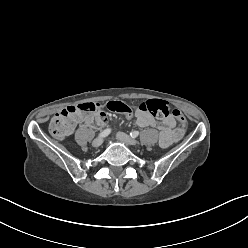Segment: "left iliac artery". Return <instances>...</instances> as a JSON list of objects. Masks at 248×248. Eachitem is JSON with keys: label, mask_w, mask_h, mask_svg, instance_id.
I'll list each match as a JSON object with an SVG mask.
<instances>
[{"label": "left iliac artery", "mask_w": 248, "mask_h": 248, "mask_svg": "<svg viewBox=\"0 0 248 248\" xmlns=\"http://www.w3.org/2000/svg\"><path fill=\"white\" fill-rule=\"evenodd\" d=\"M138 135H139V132L138 131H132V132H130V136L132 138H136V137H138Z\"/></svg>", "instance_id": "obj_1"}]
</instances>
